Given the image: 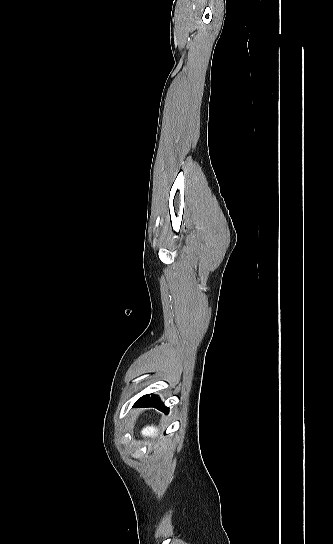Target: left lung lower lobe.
Listing matches in <instances>:
<instances>
[{
	"instance_id": "obj_1",
	"label": "left lung lower lobe",
	"mask_w": 333,
	"mask_h": 544,
	"mask_svg": "<svg viewBox=\"0 0 333 544\" xmlns=\"http://www.w3.org/2000/svg\"><path fill=\"white\" fill-rule=\"evenodd\" d=\"M135 407H155L157 409H160L161 411L165 412L166 414L169 411V408L166 407L162 402L159 401V399L155 395H144L141 398H139L135 404Z\"/></svg>"
}]
</instances>
